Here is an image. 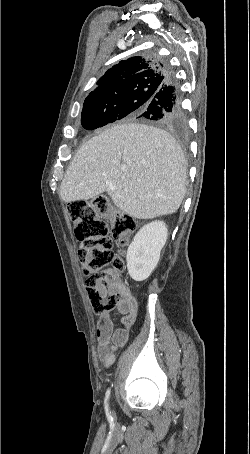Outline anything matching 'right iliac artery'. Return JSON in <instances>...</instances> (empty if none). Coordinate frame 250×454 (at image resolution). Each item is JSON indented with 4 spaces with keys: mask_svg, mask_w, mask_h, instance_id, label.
<instances>
[{
    "mask_svg": "<svg viewBox=\"0 0 250 454\" xmlns=\"http://www.w3.org/2000/svg\"><path fill=\"white\" fill-rule=\"evenodd\" d=\"M109 396H110V389H108L107 392H106V397H105V405H106V408H108L107 401H108Z\"/></svg>",
    "mask_w": 250,
    "mask_h": 454,
    "instance_id": "1",
    "label": "right iliac artery"
}]
</instances>
